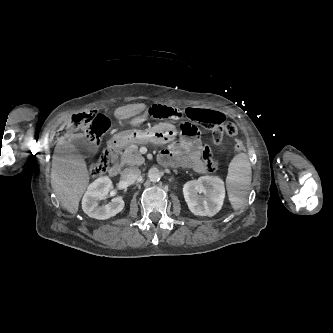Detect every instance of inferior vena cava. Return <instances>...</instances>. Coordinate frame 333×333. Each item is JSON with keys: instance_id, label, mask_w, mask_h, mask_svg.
<instances>
[{"instance_id": "602c4592", "label": "inferior vena cava", "mask_w": 333, "mask_h": 333, "mask_svg": "<svg viewBox=\"0 0 333 333\" xmlns=\"http://www.w3.org/2000/svg\"><path fill=\"white\" fill-rule=\"evenodd\" d=\"M141 175L140 169L137 167H130L126 168L122 173V179L128 183L131 184L135 182Z\"/></svg>"}]
</instances>
